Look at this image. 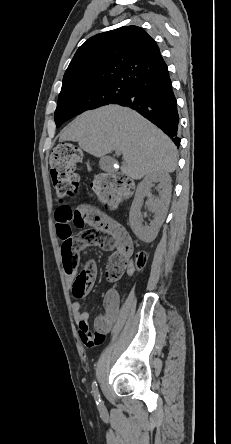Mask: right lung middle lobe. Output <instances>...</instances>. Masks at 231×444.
<instances>
[{
  "instance_id": "1",
  "label": "right lung middle lobe",
  "mask_w": 231,
  "mask_h": 444,
  "mask_svg": "<svg viewBox=\"0 0 231 444\" xmlns=\"http://www.w3.org/2000/svg\"><path fill=\"white\" fill-rule=\"evenodd\" d=\"M130 89V85L110 83L61 92L54 115L57 128L65 121L86 110L115 103L123 99L127 96Z\"/></svg>"
}]
</instances>
